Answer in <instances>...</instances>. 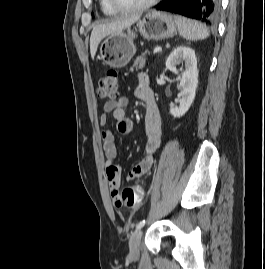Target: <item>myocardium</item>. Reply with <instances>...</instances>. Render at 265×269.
I'll use <instances>...</instances> for the list:
<instances>
[{
    "mask_svg": "<svg viewBox=\"0 0 265 269\" xmlns=\"http://www.w3.org/2000/svg\"><path fill=\"white\" fill-rule=\"evenodd\" d=\"M160 0H148L147 2L137 5V6H132V7H123L120 6L116 0H109L110 5L113 7V9L117 12L120 13H132V12H139V11H144L155 4H157Z\"/></svg>",
    "mask_w": 265,
    "mask_h": 269,
    "instance_id": "1",
    "label": "myocardium"
}]
</instances>
